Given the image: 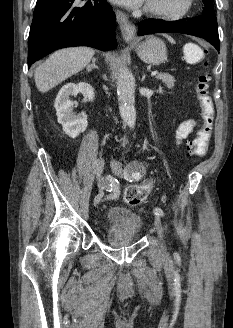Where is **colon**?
Returning <instances> with one entry per match:
<instances>
[{
  "label": "colon",
  "mask_w": 233,
  "mask_h": 328,
  "mask_svg": "<svg viewBox=\"0 0 233 328\" xmlns=\"http://www.w3.org/2000/svg\"><path fill=\"white\" fill-rule=\"evenodd\" d=\"M206 55L204 49L197 45H190L186 49V58L189 61L203 60ZM208 62H204V67ZM210 73L202 72L198 76L196 84V93L201 108L202 125L196 132L193 139L188 143V150L191 155L202 157L209 147V141L214 121V107L212 98L209 95ZM152 183L145 182L138 185L129 186L124 193V201L129 206H137L142 203L152 190Z\"/></svg>",
  "instance_id": "obj_1"
}]
</instances>
